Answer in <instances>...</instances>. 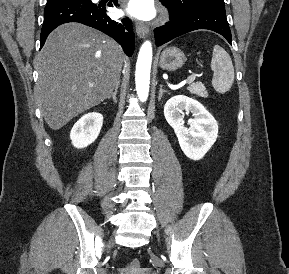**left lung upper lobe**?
Instances as JSON below:
<instances>
[{"mask_svg":"<svg viewBox=\"0 0 289 274\" xmlns=\"http://www.w3.org/2000/svg\"><path fill=\"white\" fill-rule=\"evenodd\" d=\"M165 6L177 14H185L199 6H216L225 8L223 0H160Z\"/></svg>","mask_w":289,"mask_h":274,"instance_id":"5c2ea615","label":"left lung upper lobe"}]
</instances>
